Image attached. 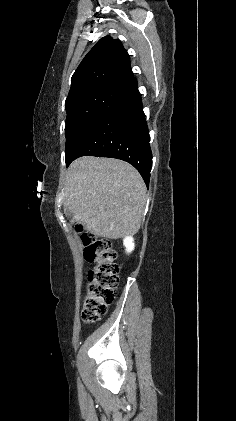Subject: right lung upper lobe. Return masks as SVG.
Segmentation results:
<instances>
[{
    "instance_id": "1",
    "label": "right lung upper lobe",
    "mask_w": 236,
    "mask_h": 421,
    "mask_svg": "<svg viewBox=\"0 0 236 421\" xmlns=\"http://www.w3.org/2000/svg\"><path fill=\"white\" fill-rule=\"evenodd\" d=\"M131 76L129 55L122 43L105 36L93 46L74 72L67 99L90 89L121 86Z\"/></svg>"
}]
</instances>
